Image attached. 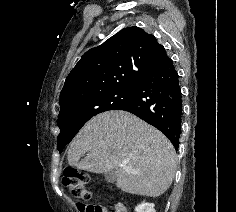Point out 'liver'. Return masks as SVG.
<instances>
[{"label": "liver", "mask_w": 236, "mask_h": 212, "mask_svg": "<svg viewBox=\"0 0 236 212\" xmlns=\"http://www.w3.org/2000/svg\"><path fill=\"white\" fill-rule=\"evenodd\" d=\"M67 159L70 166L97 174L114 170L119 189L148 197L162 195L176 170V152L168 138L126 111L90 119L71 142Z\"/></svg>", "instance_id": "obj_1"}]
</instances>
